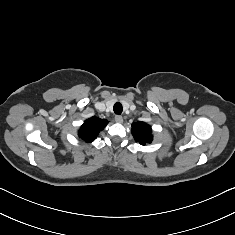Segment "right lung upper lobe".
Instances as JSON below:
<instances>
[{
  "label": "right lung upper lobe",
  "instance_id": "obj_1",
  "mask_svg": "<svg viewBox=\"0 0 235 235\" xmlns=\"http://www.w3.org/2000/svg\"><path fill=\"white\" fill-rule=\"evenodd\" d=\"M107 124L108 121L105 119H100L95 116L91 117L87 119L81 126L79 137L86 142H92L96 139L99 132L103 130Z\"/></svg>",
  "mask_w": 235,
  "mask_h": 235
}]
</instances>
